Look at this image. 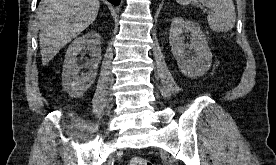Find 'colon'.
<instances>
[{
    "instance_id": "obj_1",
    "label": "colon",
    "mask_w": 276,
    "mask_h": 165,
    "mask_svg": "<svg viewBox=\"0 0 276 165\" xmlns=\"http://www.w3.org/2000/svg\"><path fill=\"white\" fill-rule=\"evenodd\" d=\"M129 165H153L150 161L141 158V157H133L129 161Z\"/></svg>"
}]
</instances>
